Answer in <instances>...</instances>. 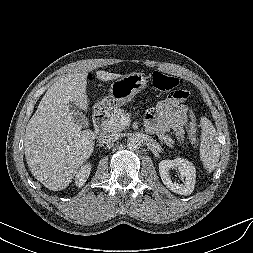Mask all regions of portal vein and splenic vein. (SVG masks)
<instances>
[{
  "mask_svg": "<svg viewBox=\"0 0 253 253\" xmlns=\"http://www.w3.org/2000/svg\"><path fill=\"white\" fill-rule=\"evenodd\" d=\"M121 123H122L123 125H127V124L129 123L128 117H123V118L121 119Z\"/></svg>",
  "mask_w": 253,
  "mask_h": 253,
  "instance_id": "portal-vein-and-splenic-vein-1",
  "label": "portal vein and splenic vein"
}]
</instances>
